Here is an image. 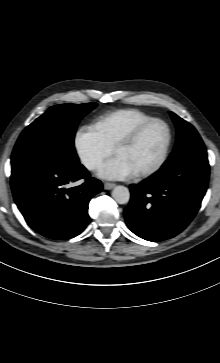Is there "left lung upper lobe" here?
Segmentation results:
<instances>
[{
    "label": "left lung upper lobe",
    "instance_id": "5c2ea615",
    "mask_svg": "<svg viewBox=\"0 0 220 363\" xmlns=\"http://www.w3.org/2000/svg\"><path fill=\"white\" fill-rule=\"evenodd\" d=\"M177 129V141L166 162L174 161L190 153H206L205 145L196 129L188 122L170 112Z\"/></svg>",
    "mask_w": 220,
    "mask_h": 363
}]
</instances>
